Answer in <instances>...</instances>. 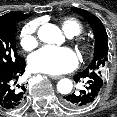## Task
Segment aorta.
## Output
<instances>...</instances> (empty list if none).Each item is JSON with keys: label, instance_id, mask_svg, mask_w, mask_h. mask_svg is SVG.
Instances as JSON below:
<instances>
[{"label": "aorta", "instance_id": "1", "mask_svg": "<svg viewBox=\"0 0 117 117\" xmlns=\"http://www.w3.org/2000/svg\"><path fill=\"white\" fill-rule=\"evenodd\" d=\"M38 37L45 43H60L63 40L61 30L56 25L50 23H46L39 28ZM72 88L73 83L67 78L61 79L57 84L58 92L63 95L69 94Z\"/></svg>", "mask_w": 117, "mask_h": 117}]
</instances>
